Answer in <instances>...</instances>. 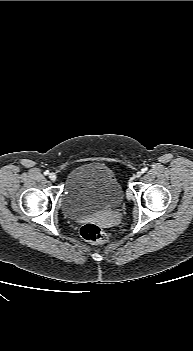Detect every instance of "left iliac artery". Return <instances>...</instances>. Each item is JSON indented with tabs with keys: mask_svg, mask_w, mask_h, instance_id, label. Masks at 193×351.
I'll return each mask as SVG.
<instances>
[{
	"mask_svg": "<svg viewBox=\"0 0 193 351\" xmlns=\"http://www.w3.org/2000/svg\"><path fill=\"white\" fill-rule=\"evenodd\" d=\"M141 171H142V173H145L147 171V168L145 167Z\"/></svg>",
	"mask_w": 193,
	"mask_h": 351,
	"instance_id": "44dca946",
	"label": "left iliac artery"
}]
</instances>
